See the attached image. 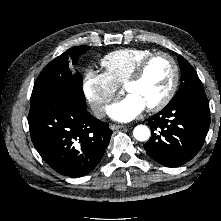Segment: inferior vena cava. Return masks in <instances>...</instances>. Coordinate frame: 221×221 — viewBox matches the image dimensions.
Segmentation results:
<instances>
[{
    "label": "inferior vena cava",
    "instance_id": "inferior-vena-cava-1",
    "mask_svg": "<svg viewBox=\"0 0 221 221\" xmlns=\"http://www.w3.org/2000/svg\"><path fill=\"white\" fill-rule=\"evenodd\" d=\"M92 110L97 118L104 116L105 107L102 104H96L92 107Z\"/></svg>",
    "mask_w": 221,
    "mask_h": 221
}]
</instances>
